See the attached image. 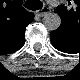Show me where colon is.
<instances>
[{
	"instance_id": "obj_1",
	"label": "colon",
	"mask_w": 80,
	"mask_h": 80,
	"mask_svg": "<svg viewBox=\"0 0 80 80\" xmlns=\"http://www.w3.org/2000/svg\"><path fill=\"white\" fill-rule=\"evenodd\" d=\"M35 3H36L37 5H40V3H39L38 1H35Z\"/></svg>"
}]
</instances>
